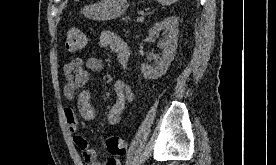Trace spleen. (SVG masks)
Wrapping results in <instances>:
<instances>
[{
    "instance_id": "3e777b00",
    "label": "spleen",
    "mask_w": 276,
    "mask_h": 165,
    "mask_svg": "<svg viewBox=\"0 0 276 165\" xmlns=\"http://www.w3.org/2000/svg\"><path fill=\"white\" fill-rule=\"evenodd\" d=\"M177 1L178 0H158V2L161 3L162 5H171Z\"/></svg>"
}]
</instances>
